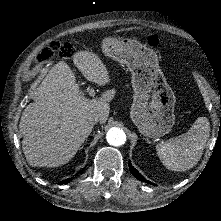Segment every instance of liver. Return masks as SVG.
<instances>
[{
  "mask_svg": "<svg viewBox=\"0 0 221 221\" xmlns=\"http://www.w3.org/2000/svg\"><path fill=\"white\" fill-rule=\"evenodd\" d=\"M74 65L89 81L108 82L106 68L97 56L80 52ZM79 82L70 65L56 63L36 88L33 102L26 105L19 122L22 149L30 166L56 167L69 162L89 136L87 117H109V104L101 98L87 100L78 95Z\"/></svg>",
  "mask_w": 221,
  "mask_h": 221,
  "instance_id": "6515ba94",
  "label": "liver"
}]
</instances>
